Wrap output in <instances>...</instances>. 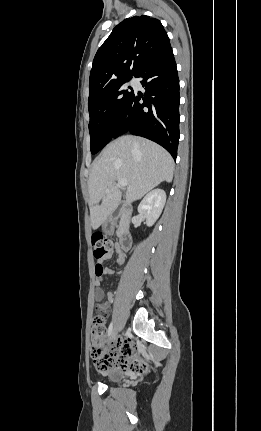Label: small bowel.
I'll return each instance as SVG.
<instances>
[{"instance_id": "small-bowel-1", "label": "small bowel", "mask_w": 261, "mask_h": 431, "mask_svg": "<svg viewBox=\"0 0 261 431\" xmlns=\"http://www.w3.org/2000/svg\"><path fill=\"white\" fill-rule=\"evenodd\" d=\"M113 251H115L117 253V259L116 262L119 265H122L125 263L126 261V256L123 253V251L120 249V247L116 244L114 245ZM113 251H111L107 256L106 259L110 258L112 256ZM116 273L114 270L108 268V267H104L103 266V270L102 273L100 275H96V279H95V286H96V290H95V298L97 301H102L105 297V293L103 291V289L100 287L101 282H102V276L104 275H108V274H114ZM107 300L104 303H100L98 305L99 310L102 312V317L103 318H108L109 317V308H110V304L112 303L113 299H114V294L112 292H108L106 294ZM123 340H118L116 342V344H120Z\"/></svg>"}]
</instances>
